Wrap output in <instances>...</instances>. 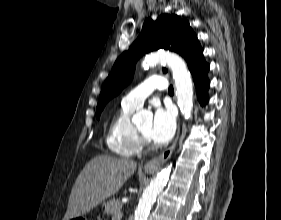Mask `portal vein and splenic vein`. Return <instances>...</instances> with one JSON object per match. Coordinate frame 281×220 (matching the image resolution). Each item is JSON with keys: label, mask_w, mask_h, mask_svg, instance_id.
I'll use <instances>...</instances> for the list:
<instances>
[{"label": "portal vein and splenic vein", "mask_w": 281, "mask_h": 220, "mask_svg": "<svg viewBox=\"0 0 281 220\" xmlns=\"http://www.w3.org/2000/svg\"><path fill=\"white\" fill-rule=\"evenodd\" d=\"M116 216L119 218L122 216V213L121 212H116Z\"/></svg>", "instance_id": "obj_1"}]
</instances>
